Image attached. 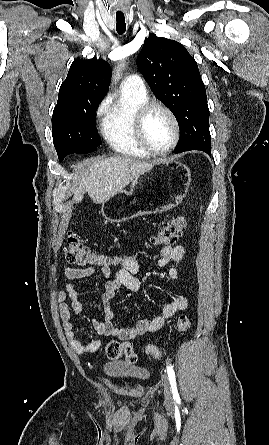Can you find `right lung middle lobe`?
Masks as SVG:
<instances>
[{
    "instance_id": "1",
    "label": "right lung middle lobe",
    "mask_w": 269,
    "mask_h": 445,
    "mask_svg": "<svg viewBox=\"0 0 269 445\" xmlns=\"http://www.w3.org/2000/svg\"><path fill=\"white\" fill-rule=\"evenodd\" d=\"M100 100L71 101L55 106L52 134L58 158L73 153L87 154L102 144L95 124Z\"/></svg>"
}]
</instances>
